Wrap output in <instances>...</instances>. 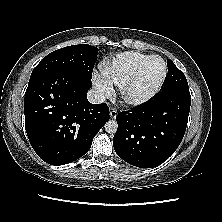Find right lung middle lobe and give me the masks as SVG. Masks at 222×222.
Here are the masks:
<instances>
[{"instance_id":"right-lung-middle-lobe-1","label":"right lung middle lobe","mask_w":222,"mask_h":222,"mask_svg":"<svg viewBox=\"0 0 222 222\" xmlns=\"http://www.w3.org/2000/svg\"><path fill=\"white\" fill-rule=\"evenodd\" d=\"M98 48L88 44L72 45L55 50L42 59L33 69L31 78L53 71H73L91 78Z\"/></svg>"}]
</instances>
